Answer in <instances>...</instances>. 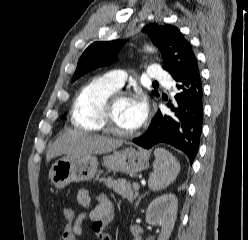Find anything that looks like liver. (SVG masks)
<instances>
[{
	"instance_id": "obj_1",
	"label": "liver",
	"mask_w": 248,
	"mask_h": 240,
	"mask_svg": "<svg viewBox=\"0 0 248 240\" xmlns=\"http://www.w3.org/2000/svg\"><path fill=\"white\" fill-rule=\"evenodd\" d=\"M123 141L104 136L91 135L81 131H70L60 136L47 151L49 162L60 155L83 156L111 152L119 148Z\"/></svg>"
}]
</instances>
